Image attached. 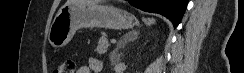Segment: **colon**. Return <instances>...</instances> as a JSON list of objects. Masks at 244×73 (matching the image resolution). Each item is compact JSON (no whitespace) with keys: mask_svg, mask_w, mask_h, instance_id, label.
Segmentation results:
<instances>
[{"mask_svg":"<svg viewBox=\"0 0 244 73\" xmlns=\"http://www.w3.org/2000/svg\"><path fill=\"white\" fill-rule=\"evenodd\" d=\"M75 61L73 59H67L63 61L55 70V73H74Z\"/></svg>","mask_w":244,"mask_h":73,"instance_id":"1","label":"colon"}]
</instances>
